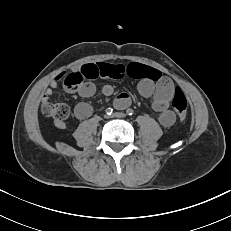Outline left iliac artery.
Instances as JSON below:
<instances>
[{"mask_svg":"<svg viewBox=\"0 0 231 231\" xmlns=\"http://www.w3.org/2000/svg\"><path fill=\"white\" fill-rule=\"evenodd\" d=\"M126 113L129 115V116H133L134 115V110L129 108L127 109Z\"/></svg>","mask_w":231,"mask_h":231,"instance_id":"44dca946","label":"left iliac artery"}]
</instances>
